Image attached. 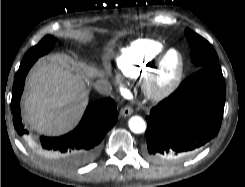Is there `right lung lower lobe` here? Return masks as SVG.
<instances>
[{
	"mask_svg": "<svg viewBox=\"0 0 245 187\" xmlns=\"http://www.w3.org/2000/svg\"><path fill=\"white\" fill-rule=\"evenodd\" d=\"M38 57L22 60L16 73L11 100L14 127L19 135L28 134L20 120L19 101L27 72ZM116 104L111 98L90 104L76 129L67 135L55 138L41 137L32 142L36 151L63 165L79 166L92 161L98 154L99 144L117 119Z\"/></svg>",
	"mask_w": 245,
	"mask_h": 187,
	"instance_id": "98d812e1",
	"label": "right lung lower lobe"
}]
</instances>
